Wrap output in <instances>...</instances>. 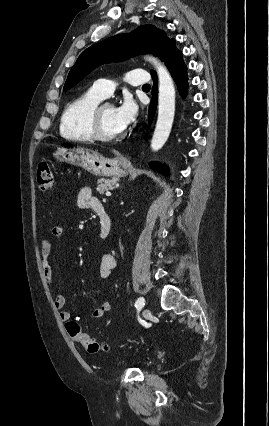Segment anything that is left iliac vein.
Here are the masks:
<instances>
[{
	"instance_id": "left-iliac-vein-1",
	"label": "left iliac vein",
	"mask_w": 269,
	"mask_h": 426,
	"mask_svg": "<svg viewBox=\"0 0 269 426\" xmlns=\"http://www.w3.org/2000/svg\"><path fill=\"white\" fill-rule=\"evenodd\" d=\"M143 315L146 319H149L151 317V312L148 309H145Z\"/></svg>"
}]
</instances>
